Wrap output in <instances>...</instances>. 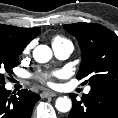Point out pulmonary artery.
<instances>
[{
    "mask_svg": "<svg viewBox=\"0 0 118 118\" xmlns=\"http://www.w3.org/2000/svg\"><path fill=\"white\" fill-rule=\"evenodd\" d=\"M56 57L60 60L67 59L73 52L74 46L70 41L52 44ZM90 88L85 89V93H89Z\"/></svg>",
    "mask_w": 118,
    "mask_h": 118,
    "instance_id": "1",
    "label": "pulmonary artery"
}]
</instances>
